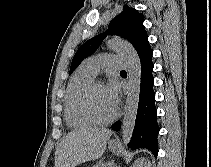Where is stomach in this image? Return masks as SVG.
Here are the masks:
<instances>
[{"instance_id":"1","label":"stomach","mask_w":211,"mask_h":167,"mask_svg":"<svg viewBox=\"0 0 211 167\" xmlns=\"http://www.w3.org/2000/svg\"><path fill=\"white\" fill-rule=\"evenodd\" d=\"M109 149L111 150V152H113L115 154H119L121 152V146L116 141L109 142Z\"/></svg>"}]
</instances>
